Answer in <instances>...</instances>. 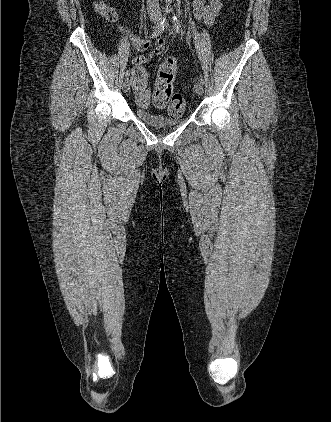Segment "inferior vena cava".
Instances as JSON below:
<instances>
[{
	"instance_id": "obj_1",
	"label": "inferior vena cava",
	"mask_w": 331,
	"mask_h": 422,
	"mask_svg": "<svg viewBox=\"0 0 331 422\" xmlns=\"http://www.w3.org/2000/svg\"><path fill=\"white\" fill-rule=\"evenodd\" d=\"M148 7L150 10H158L159 9V0H147Z\"/></svg>"
}]
</instances>
